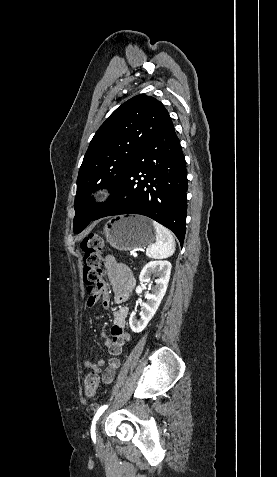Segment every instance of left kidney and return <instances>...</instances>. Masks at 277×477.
Segmentation results:
<instances>
[{
	"instance_id": "1",
	"label": "left kidney",
	"mask_w": 277,
	"mask_h": 477,
	"mask_svg": "<svg viewBox=\"0 0 277 477\" xmlns=\"http://www.w3.org/2000/svg\"><path fill=\"white\" fill-rule=\"evenodd\" d=\"M171 267V263L168 261H151L140 272L141 283L148 282L152 274L157 275L158 279L155 280L156 285L153 287L152 293H147L145 296L147 303L142 308L140 320L135 319V312L130 315L129 324L133 332H142L156 313L167 290ZM142 289L143 285H139L136 288V293L140 294Z\"/></svg>"
}]
</instances>
